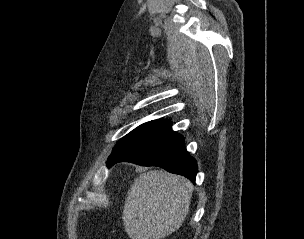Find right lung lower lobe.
<instances>
[{"label": "right lung lower lobe", "instance_id": "1", "mask_svg": "<svg viewBox=\"0 0 304 239\" xmlns=\"http://www.w3.org/2000/svg\"><path fill=\"white\" fill-rule=\"evenodd\" d=\"M171 126L172 123L168 122L163 127L113 152L108 158V167L121 161L142 166H159L194 182L197 163L186 151L184 137L172 131Z\"/></svg>", "mask_w": 304, "mask_h": 239}]
</instances>
